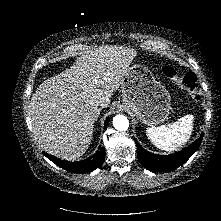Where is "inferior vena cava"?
I'll return each mask as SVG.
<instances>
[{
  "mask_svg": "<svg viewBox=\"0 0 221 221\" xmlns=\"http://www.w3.org/2000/svg\"><path fill=\"white\" fill-rule=\"evenodd\" d=\"M107 103H108V100L105 98H99L98 100H96V104L101 107H105Z\"/></svg>",
  "mask_w": 221,
  "mask_h": 221,
  "instance_id": "1",
  "label": "inferior vena cava"
}]
</instances>
